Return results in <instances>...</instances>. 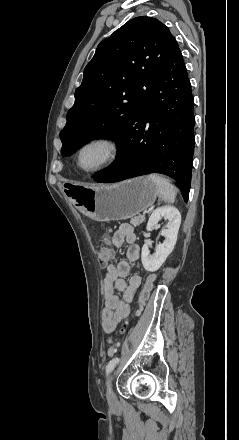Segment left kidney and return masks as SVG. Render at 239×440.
Listing matches in <instances>:
<instances>
[{
	"label": "left kidney",
	"instance_id": "1",
	"mask_svg": "<svg viewBox=\"0 0 239 440\" xmlns=\"http://www.w3.org/2000/svg\"><path fill=\"white\" fill-rule=\"evenodd\" d=\"M160 220H168L167 230H162L161 232V236H165L163 244L156 246V254H150L149 246L146 242L142 248L141 260L146 272H157L162 264H164L167 256L171 254L176 244L177 234L181 224L180 212H178L174 206L157 208L148 220L146 226L147 232H151L152 228L157 226Z\"/></svg>",
	"mask_w": 239,
	"mask_h": 440
}]
</instances>
